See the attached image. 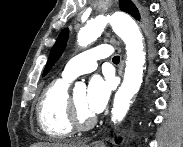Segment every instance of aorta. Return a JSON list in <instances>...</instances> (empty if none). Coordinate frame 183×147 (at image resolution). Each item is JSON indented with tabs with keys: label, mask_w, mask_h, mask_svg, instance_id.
Listing matches in <instances>:
<instances>
[{
	"label": "aorta",
	"mask_w": 183,
	"mask_h": 147,
	"mask_svg": "<svg viewBox=\"0 0 183 147\" xmlns=\"http://www.w3.org/2000/svg\"><path fill=\"white\" fill-rule=\"evenodd\" d=\"M110 25L126 45L127 62L124 79L114 97L112 121L121 122L126 116L133 96L139 91L145 63L143 38L136 22L127 14L115 12L98 15L83 26L77 35L79 46L85 47L94 42ZM83 82H77L74 90L85 89Z\"/></svg>",
	"instance_id": "aorta-1"
}]
</instances>
